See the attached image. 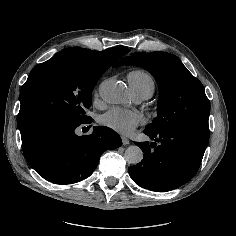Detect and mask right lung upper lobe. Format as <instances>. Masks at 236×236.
<instances>
[{
  "label": "right lung upper lobe",
  "mask_w": 236,
  "mask_h": 236,
  "mask_svg": "<svg viewBox=\"0 0 236 236\" xmlns=\"http://www.w3.org/2000/svg\"><path fill=\"white\" fill-rule=\"evenodd\" d=\"M84 49V48H83ZM92 56L107 62L108 64L112 65L115 63L119 58L124 56L129 52L127 48H109L104 51H95L90 49H84Z\"/></svg>",
  "instance_id": "right-lung-upper-lobe-1"
}]
</instances>
